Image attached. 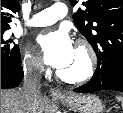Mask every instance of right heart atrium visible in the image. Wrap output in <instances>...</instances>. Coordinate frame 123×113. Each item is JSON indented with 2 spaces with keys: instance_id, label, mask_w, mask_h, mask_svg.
<instances>
[{
  "instance_id": "1",
  "label": "right heart atrium",
  "mask_w": 123,
  "mask_h": 113,
  "mask_svg": "<svg viewBox=\"0 0 123 113\" xmlns=\"http://www.w3.org/2000/svg\"><path fill=\"white\" fill-rule=\"evenodd\" d=\"M23 65L25 70L30 73H39L43 68L41 60L30 51L24 54Z\"/></svg>"
}]
</instances>
